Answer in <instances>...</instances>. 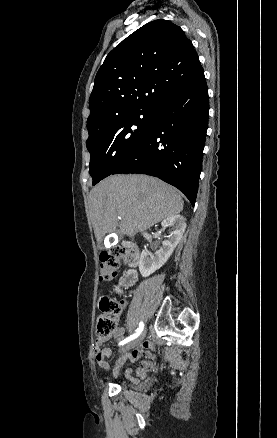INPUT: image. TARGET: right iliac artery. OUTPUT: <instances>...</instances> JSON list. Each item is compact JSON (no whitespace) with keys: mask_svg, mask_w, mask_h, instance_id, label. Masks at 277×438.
<instances>
[{"mask_svg":"<svg viewBox=\"0 0 277 438\" xmlns=\"http://www.w3.org/2000/svg\"><path fill=\"white\" fill-rule=\"evenodd\" d=\"M143 328H144V324H143V322L141 321V322L139 323V327H138V329L136 330V332H135L133 335H131V336L125 338L124 340H122V341L119 343V345H124V344L130 342L131 340L137 338V337L140 335V333L143 331Z\"/></svg>","mask_w":277,"mask_h":438,"instance_id":"1","label":"right iliac artery"}]
</instances>
